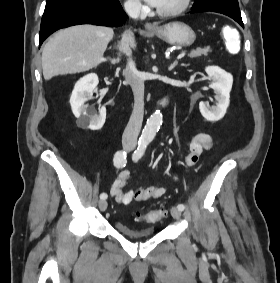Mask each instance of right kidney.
Instances as JSON below:
<instances>
[{
	"instance_id": "ca27d5eb",
	"label": "right kidney",
	"mask_w": 280,
	"mask_h": 283,
	"mask_svg": "<svg viewBox=\"0 0 280 283\" xmlns=\"http://www.w3.org/2000/svg\"><path fill=\"white\" fill-rule=\"evenodd\" d=\"M98 76L90 73L82 77L74 86L70 97V105L74 116L78 119L77 125L90 130H100L106 120V108L101 106L99 114L95 109L85 104L92 99L93 91L98 85Z\"/></svg>"
}]
</instances>
